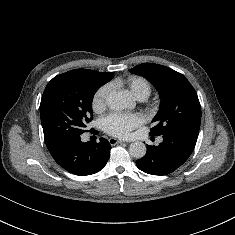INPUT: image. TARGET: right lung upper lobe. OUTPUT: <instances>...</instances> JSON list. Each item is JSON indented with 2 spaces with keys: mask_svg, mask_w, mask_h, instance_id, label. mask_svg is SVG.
<instances>
[{
  "mask_svg": "<svg viewBox=\"0 0 235 235\" xmlns=\"http://www.w3.org/2000/svg\"><path fill=\"white\" fill-rule=\"evenodd\" d=\"M71 71H85V72H90L92 74H95L99 77H102L106 80H110L113 76V73H109V72H97V71H93V70H89V69H76V70H71Z\"/></svg>",
  "mask_w": 235,
  "mask_h": 235,
  "instance_id": "right-lung-upper-lobe-1",
  "label": "right lung upper lobe"
}]
</instances>
